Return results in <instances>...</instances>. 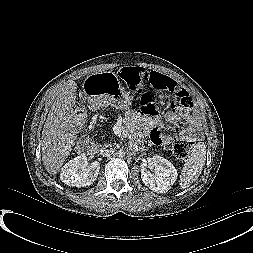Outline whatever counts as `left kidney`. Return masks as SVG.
I'll return each mask as SVG.
<instances>
[{"label":"left kidney","mask_w":253,"mask_h":253,"mask_svg":"<svg viewBox=\"0 0 253 253\" xmlns=\"http://www.w3.org/2000/svg\"><path fill=\"white\" fill-rule=\"evenodd\" d=\"M177 176L178 173L173 164L161 156H153L149 165L141 164L142 181L154 192H167L175 183Z\"/></svg>","instance_id":"5707ae66"}]
</instances>
